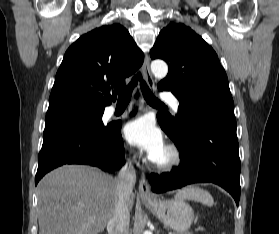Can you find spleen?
I'll list each match as a JSON object with an SVG mask.
<instances>
[{
  "label": "spleen",
  "mask_w": 279,
  "mask_h": 234,
  "mask_svg": "<svg viewBox=\"0 0 279 234\" xmlns=\"http://www.w3.org/2000/svg\"><path fill=\"white\" fill-rule=\"evenodd\" d=\"M176 198L182 200H194L207 206H212L214 204L211 194L198 187L184 188L176 195Z\"/></svg>",
  "instance_id": "obj_1"
}]
</instances>
